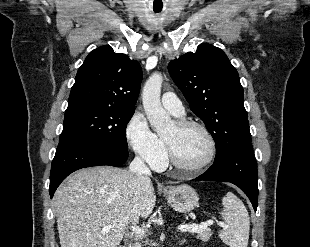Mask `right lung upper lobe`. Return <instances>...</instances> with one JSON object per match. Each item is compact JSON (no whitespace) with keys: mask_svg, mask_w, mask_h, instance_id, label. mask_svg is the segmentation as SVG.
Instances as JSON below:
<instances>
[{"mask_svg":"<svg viewBox=\"0 0 310 247\" xmlns=\"http://www.w3.org/2000/svg\"><path fill=\"white\" fill-rule=\"evenodd\" d=\"M142 80L139 63L110 46L89 53L78 69L68 108L134 111Z\"/></svg>","mask_w":310,"mask_h":247,"instance_id":"obj_1","label":"right lung upper lobe"}]
</instances>
